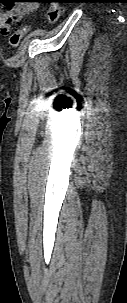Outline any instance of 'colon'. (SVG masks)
<instances>
[{
  "instance_id": "5ec220e1",
  "label": "colon",
  "mask_w": 127,
  "mask_h": 303,
  "mask_svg": "<svg viewBox=\"0 0 127 303\" xmlns=\"http://www.w3.org/2000/svg\"><path fill=\"white\" fill-rule=\"evenodd\" d=\"M49 7L47 10V22L49 24H54L58 21L60 15H61V7L57 3L56 0H49ZM28 28L24 27L22 29H19L15 31L14 33L9 35V43L12 47H16L23 36L26 34ZM10 33V32H9Z\"/></svg>"
}]
</instances>
